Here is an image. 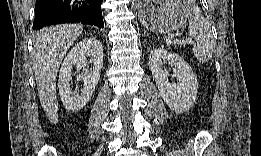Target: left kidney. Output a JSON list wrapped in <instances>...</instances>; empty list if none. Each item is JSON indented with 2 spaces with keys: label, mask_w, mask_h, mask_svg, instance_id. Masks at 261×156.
Here are the masks:
<instances>
[{
  "label": "left kidney",
  "mask_w": 261,
  "mask_h": 156,
  "mask_svg": "<svg viewBox=\"0 0 261 156\" xmlns=\"http://www.w3.org/2000/svg\"><path fill=\"white\" fill-rule=\"evenodd\" d=\"M174 66L176 83L168 80V72L163 64ZM149 68L158 86V90L168 107L176 113L188 111L197 97L198 81L189 64L179 55L164 49H155L149 55Z\"/></svg>",
  "instance_id": "obj_1"
}]
</instances>
